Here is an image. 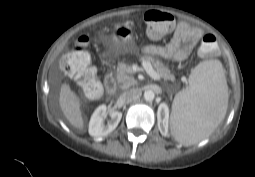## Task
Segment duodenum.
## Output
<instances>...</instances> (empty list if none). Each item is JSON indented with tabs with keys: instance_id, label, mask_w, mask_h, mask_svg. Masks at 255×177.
<instances>
[{
	"instance_id": "duodenum-1",
	"label": "duodenum",
	"mask_w": 255,
	"mask_h": 177,
	"mask_svg": "<svg viewBox=\"0 0 255 177\" xmlns=\"http://www.w3.org/2000/svg\"><path fill=\"white\" fill-rule=\"evenodd\" d=\"M105 88L109 94H114L116 92V82L111 74H107L104 80Z\"/></svg>"
}]
</instances>
